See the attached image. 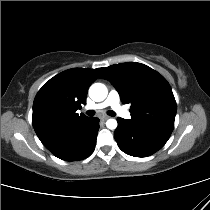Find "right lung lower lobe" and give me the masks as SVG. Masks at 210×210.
I'll return each instance as SVG.
<instances>
[{"label": "right lung lower lobe", "instance_id": "right-lung-lower-lobe-1", "mask_svg": "<svg viewBox=\"0 0 210 210\" xmlns=\"http://www.w3.org/2000/svg\"><path fill=\"white\" fill-rule=\"evenodd\" d=\"M98 130L99 119L89 117L64 131L45 147L62 160H82L93 152Z\"/></svg>", "mask_w": 210, "mask_h": 210}]
</instances>
